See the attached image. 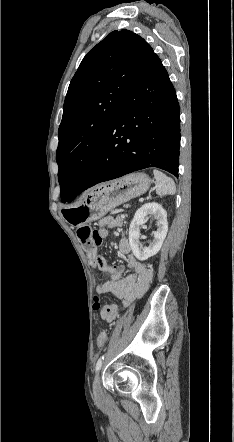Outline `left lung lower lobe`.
Segmentation results:
<instances>
[{
	"label": "left lung lower lobe",
	"mask_w": 234,
	"mask_h": 442,
	"mask_svg": "<svg viewBox=\"0 0 234 442\" xmlns=\"http://www.w3.org/2000/svg\"><path fill=\"white\" fill-rule=\"evenodd\" d=\"M180 111L174 87L154 53L123 97L80 189L148 167L178 177Z\"/></svg>",
	"instance_id": "0a47b994"
}]
</instances>
